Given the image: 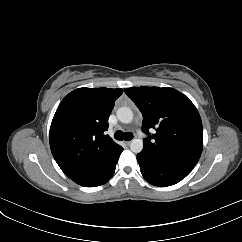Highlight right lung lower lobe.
<instances>
[{
	"label": "right lung lower lobe",
	"instance_id": "right-lung-lower-lobe-1",
	"mask_svg": "<svg viewBox=\"0 0 242 242\" xmlns=\"http://www.w3.org/2000/svg\"><path fill=\"white\" fill-rule=\"evenodd\" d=\"M122 151L123 148L120 145L115 146L97 157L92 164L70 179L84 187H96L105 184L113 176Z\"/></svg>",
	"mask_w": 242,
	"mask_h": 242
}]
</instances>
